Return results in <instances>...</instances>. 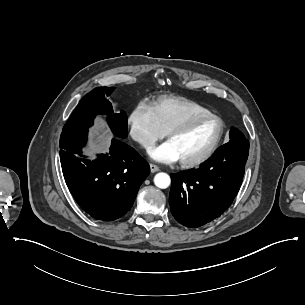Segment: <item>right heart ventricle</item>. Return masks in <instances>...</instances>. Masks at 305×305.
<instances>
[{
    "instance_id": "right-heart-ventricle-1",
    "label": "right heart ventricle",
    "mask_w": 305,
    "mask_h": 305,
    "mask_svg": "<svg viewBox=\"0 0 305 305\" xmlns=\"http://www.w3.org/2000/svg\"><path fill=\"white\" fill-rule=\"evenodd\" d=\"M151 107L164 131L186 118L209 112L204 106L178 96L161 97L153 102Z\"/></svg>"
}]
</instances>
